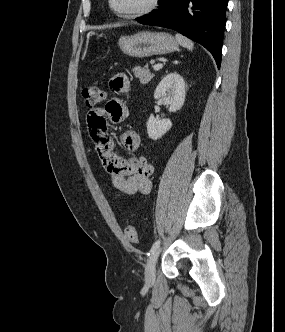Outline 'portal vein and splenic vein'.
<instances>
[{
  "label": "portal vein and splenic vein",
  "instance_id": "1",
  "mask_svg": "<svg viewBox=\"0 0 285 332\" xmlns=\"http://www.w3.org/2000/svg\"><path fill=\"white\" fill-rule=\"evenodd\" d=\"M162 67H163V64L158 63V64H155V65L153 66V69H154L155 71H158V70H160Z\"/></svg>",
  "mask_w": 285,
  "mask_h": 332
}]
</instances>
